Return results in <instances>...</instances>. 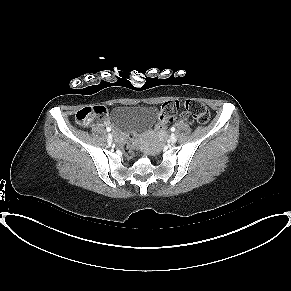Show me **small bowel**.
<instances>
[{
    "instance_id": "1",
    "label": "small bowel",
    "mask_w": 291,
    "mask_h": 291,
    "mask_svg": "<svg viewBox=\"0 0 291 291\" xmlns=\"http://www.w3.org/2000/svg\"><path fill=\"white\" fill-rule=\"evenodd\" d=\"M187 118V116L185 115V114H182L181 116H180V120L181 121H183V120H185ZM106 124H107V122H105Z\"/></svg>"
}]
</instances>
